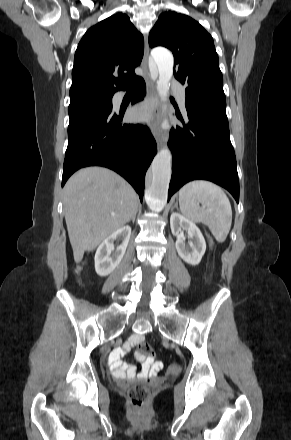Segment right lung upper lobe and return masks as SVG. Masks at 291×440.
Here are the masks:
<instances>
[{
    "label": "right lung upper lobe",
    "mask_w": 291,
    "mask_h": 440,
    "mask_svg": "<svg viewBox=\"0 0 291 440\" xmlns=\"http://www.w3.org/2000/svg\"><path fill=\"white\" fill-rule=\"evenodd\" d=\"M144 39L126 14L118 13L91 27L74 57L70 102L86 97L113 96L138 76Z\"/></svg>",
    "instance_id": "obj_1"
}]
</instances>
